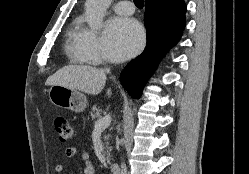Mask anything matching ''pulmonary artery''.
I'll use <instances>...</instances> for the list:
<instances>
[{"mask_svg": "<svg viewBox=\"0 0 249 174\" xmlns=\"http://www.w3.org/2000/svg\"><path fill=\"white\" fill-rule=\"evenodd\" d=\"M114 10L121 15H131L134 12V5L130 1H120L115 4Z\"/></svg>", "mask_w": 249, "mask_h": 174, "instance_id": "1", "label": "pulmonary artery"}]
</instances>
